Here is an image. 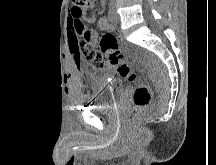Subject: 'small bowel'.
<instances>
[{
  "label": "small bowel",
  "mask_w": 216,
  "mask_h": 165,
  "mask_svg": "<svg viewBox=\"0 0 216 165\" xmlns=\"http://www.w3.org/2000/svg\"><path fill=\"white\" fill-rule=\"evenodd\" d=\"M94 4L91 3L87 8H93ZM86 7L81 10L72 8L71 15L68 21V45L71 53L74 55V60L77 65L81 63V55L78 47L79 39H84L88 45L97 46L98 44V32L92 28L87 27L83 19L89 25L97 23L96 16L84 18ZM100 26H105V22H98Z\"/></svg>",
  "instance_id": "obj_1"
}]
</instances>
